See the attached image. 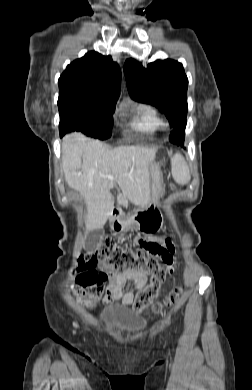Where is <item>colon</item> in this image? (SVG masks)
<instances>
[{"label": "colon", "instance_id": "colon-1", "mask_svg": "<svg viewBox=\"0 0 252 390\" xmlns=\"http://www.w3.org/2000/svg\"><path fill=\"white\" fill-rule=\"evenodd\" d=\"M143 226V233L146 235L155 232V228L144 221L140 222ZM152 243L148 237H141L137 249L129 248L124 242L114 239L112 236H103L95 252L80 265L76 284L78 289L84 294L88 292L93 297H99L102 293V283L106 280L108 273H98L94 270L97 261L113 272L125 273L129 271L141 272L150 276L149 283L138 290L134 297L133 309L139 313L145 309L157 295L162 283L168 274L173 272L170 259L165 257L164 262L167 269L163 268L157 255L150 252ZM181 293L180 288L173 289L164 299L153 306L154 311L161 312L164 308L174 305Z\"/></svg>", "mask_w": 252, "mask_h": 390}]
</instances>
